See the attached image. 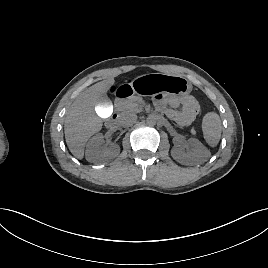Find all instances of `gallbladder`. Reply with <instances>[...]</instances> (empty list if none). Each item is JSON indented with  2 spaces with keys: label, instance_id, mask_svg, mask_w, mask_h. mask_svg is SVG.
Listing matches in <instances>:
<instances>
[{
  "label": "gallbladder",
  "instance_id": "1",
  "mask_svg": "<svg viewBox=\"0 0 268 268\" xmlns=\"http://www.w3.org/2000/svg\"><path fill=\"white\" fill-rule=\"evenodd\" d=\"M96 112L102 118L109 117L113 113L112 104L109 98L103 96L96 101Z\"/></svg>",
  "mask_w": 268,
  "mask_h": 268
}]
</instances>
